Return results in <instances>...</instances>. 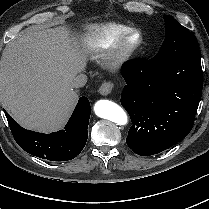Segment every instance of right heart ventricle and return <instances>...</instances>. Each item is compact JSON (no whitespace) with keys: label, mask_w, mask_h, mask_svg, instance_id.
Segmentation results:
<instances>
[{"label":"right heart ventricle","mask_w":209,"mask_h":209,"mask_svg":"<svg viewBox=\"0 0 209 209\" xmlns=\"http://www.w3.org/2000/svg\"><path fill=\"white\" fill-rule=\"evenodd\" d=\"M131 29V26L110 22L103 25H93L80 36L79 43L86 52H96L107 48L110 41L118 34Z\"/></svg>","instance_id":"e07e8e85"}]
</instances>
